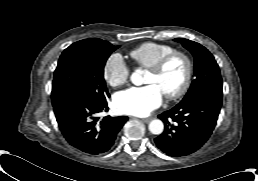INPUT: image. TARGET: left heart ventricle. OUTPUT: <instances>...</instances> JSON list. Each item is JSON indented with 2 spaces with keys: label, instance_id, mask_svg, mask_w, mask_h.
I'll use <instances>...</instances> for the list:
<instances>
[{
  "label": "left heart ventricle",
  "instance_id": "left-heart-ventricle-1",
  "mask_svg": "<svg viewBox=\"0 0 258 181\" xmlns=\"http://www.w3.org/2000/svg\"><path fill=\"white\" fill-rule=\"evenodd\" d=\"M185 76V63L180 58H175L169 62L160 74L148 71L145 82L157 85L163 93L177 90Z\"/></svg>",
  "mask_w": 258,
  "mask_h": 181
}]
</instances>
